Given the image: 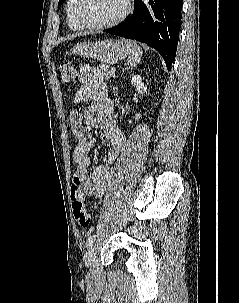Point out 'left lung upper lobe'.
Instances as JSON below:
<instances>
[{
    "mask_svg": "<svg viewBox=\"0 0 239 303\" xmlns=\"http://www.w3.org/2000/svg\"><path fill=\"white\" fill-rule=\"evenodd\" d=\"M65 0H59L58 5L62 4Z\"/></svg>",
    "mask_w": 239,
    "mask_h": 303,
    "instance_id": "5c2ea615",
    "label": "left lung upper lobe"
}]
</instances>
